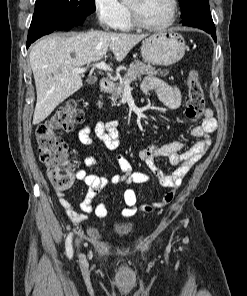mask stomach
Instances as JSON below:
<instances>
[{
	"instance_id": "1",
	"label": "stomach",
	"mask_w": 247,
	"mask_h": 296,
	"mask_svg": "<svg viewBox=\"0 0 247 296\" xmlns=\"http://www.w3.org/2000/svg\"><path fill=\"white\" fill-rule=\"evenodd\" d=\"M185 49L183 36L170 29L145 38L141 47V55L147 63L169 66L183 58Z\"/></svg>"
}]
</instances>
